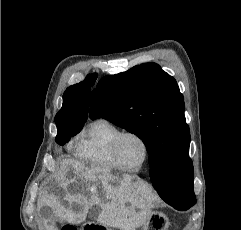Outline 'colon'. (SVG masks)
I'll return each mask as SVG.
<instances>
[{
  "mask_svg": "<svg viewBox=\"0 0 241 230\" xmlns=\"http://www.w3.org/2000/svg\"><path fill=\"white\" fill-rule=\"evenodd\" d=\"M62 230H77V229L72 226H65L62 228Z\"/></svg>",
  "mask_w": 241,
  "mask_h": 230,
  "instance_id": "obj_1",
  "label": "colon"
}]
</instances>
